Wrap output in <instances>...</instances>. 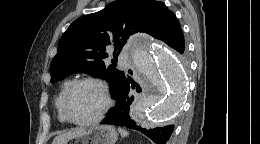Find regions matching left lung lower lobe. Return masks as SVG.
Returning a JSON list of instances; mask_svg holds the SVG:
<instances>
[{"label": "left lung lower lobe", "mask_w": 260, "mask_h": 144, "mask_svg": "<svg viewBox=\"0 0 260 144\" xmlns=\"http://www.w3.org/2000/svg\"><path fill=\"white\" fill-rule=\"evenodd\" d=\"M167 44L177 50L180 54H183L185 51V40L182 30H180ZM135 85L137 92H140V87L131 78H125L123 80V83L113 95L116 104L109 110L106 118L101 124L117 125L135 129L144 133L156 144H166L174 130V125L145 129L136 122L135 109L134 106H132L134 96L130 95V90L131 88L134 89Z\"/></svg>", "instance_id": "1"}]
</instances>
